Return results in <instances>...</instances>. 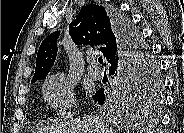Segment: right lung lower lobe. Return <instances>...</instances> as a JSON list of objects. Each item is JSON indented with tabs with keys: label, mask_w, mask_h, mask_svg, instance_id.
I'll list each match as a JSON object with an SVG mask.
<instances>
[{
	"label": "right lung lower lobe",
	"mask_w": 184,
	"mask_h": 133,
	"mask_svg": "<svg viewBox=\"0 0 184 133\" xmlns=\"http://www.w3.org/2000/svg\"><path fill=\"white\" fill-rule=\"evenodd\" d=\"M110 14L114 29L119 37L120 46L116 55L109 61L111 64L109 74L118 77V97H120L126 93L129 78L136 73L135 51L140 49V47L134 40V37H132L130 27L126 25L124 17L118 11H112ZM149 53L146 51L147 55ZM93 100L102 105L105 100L104 90L99 89L93 95Z\"/></svg>",
	"instance_id": "right-lung-lower-lobe-1"
}]
</instances>
